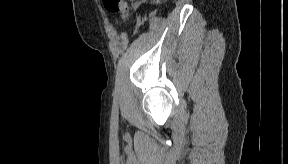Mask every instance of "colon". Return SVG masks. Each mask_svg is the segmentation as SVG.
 <instances>
[{"instance_id":"5ec220e1","label":"colon","mask_w":288,"mask_h":164,"mask_svg":"<svg viewBox=\"0 0 288 164\" xmlns=\"http://www.w3.org/2000/svg\"><path fill=\"white\" fill-rule=\"evenodd\" d=\"M105 5L110 12L120 14L123 19L131 15L132 7L126 0H105Z\"/></svg>"}]
</instances>
